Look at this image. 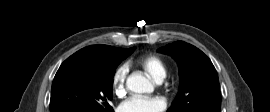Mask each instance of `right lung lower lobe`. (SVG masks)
Wrapping results in <instances>:
<instances>
[{
	"mask_svg": "<svg viewBox=\"0 0 270 112\" xmlns=\"http://www.w3.org/2000/svg\"><path fill=\"white\" fill-rule=\"evenodd\" d=\"M56 112H82V111H78V110H60V111H56Z\"/></svg>",
	"mask_w": 270,
	"mask_h": 112,
	"instance_id": "obj_1",
	"label": "right lung lower lobe"
}]
</instances>
